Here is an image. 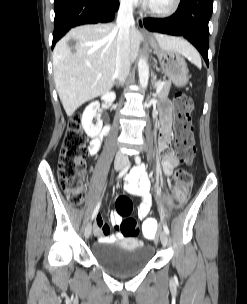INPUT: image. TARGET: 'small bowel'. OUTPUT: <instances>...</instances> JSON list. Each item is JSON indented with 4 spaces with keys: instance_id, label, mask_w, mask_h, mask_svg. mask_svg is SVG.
<instances>
[{
    "instance_id": "small-bowel-1",
    "label": "small bowel",
    "mask_w": 247,
    "mask_h": 304,
    "mask_svg": "<svg viewBox=\"0 0 247 304\" xmlns=\"http://www.w3.org/2000/svg\"><path fill=\"white\" fill-rule=\"evenodd\" d=\"M160 128L157 142V149L164 152L161 160V168L165 176L172 175L177 164L175 153L170 150L172 143V118L173 108L169 101H164L159 107ZM108 127H105L100 137H95L90 141L89 152L92 156L96 155L101 147L102 138L107 134ZM124 189L127 193L141 198V204L138 210V217L145 219L150 212L152 205L151 184L148 173L144 165L136 166L131 172V175L126 179ZM111 223L118 229V225L122 221V217L113 212L110 216ZM95 237L99 240H118L123 238V234L116 230L114 234H110L109 225L98 216L95 224Z\"/></svg>"
}]
</instances>
